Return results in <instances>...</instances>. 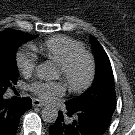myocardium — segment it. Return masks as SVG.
<instances>
[{
	"label": "myocardium",
	"instance_id": "f54148a6",
	"mask_svg": "<svg viewBox=\"0 0 135 135\" xmlns=\"http://www.w3.org/2000/svg\"><path fill=\"white\" fill-rule=\"evenodd\" d=\"M84 60L88 66V73L85 81L80 85H75L69 80V75L74 69V67L81 61ZM59 68L63 74V78L68 86V88L73 93H83L87 91L93 84L96 76V63L93 56L86 52L82 51L72 55L64 63L59 65Z\"/></svg>",
	"mask_w": 135,
	"mask_h": 135
}]
</instances>
